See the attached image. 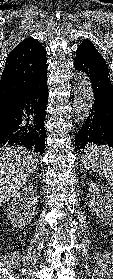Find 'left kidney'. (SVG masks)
<instances>
[{
	"mask_svg": "<svg viewBox=\"0 0 113 279\" xmlns=\"http://www.w3.org/2000/svg\"><path fill=\"white\" fill-rule=\"evenodd\" d=\"M89 207L101 219L108 220L113 216V194L97 183H89Z\"/></svg>",
	"mask_w": 113,
	"mask_h": 279,
	"instance_id": "5707ae66",
	"label": "left kidney"
}]
</instances>
